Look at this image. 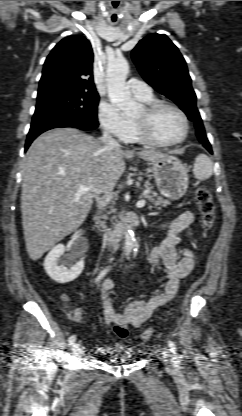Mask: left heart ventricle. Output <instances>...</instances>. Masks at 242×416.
<instances>
[{
    "label": "left heart ventricle",
    "mask_w": 242,
    "mask_h": 416,
    "mask_svg": "<svg viewBox=\"0 0 242 416\" xmlns=\"http://www.w3.org/2000/svg\"><path fill=\"white\" fill-rule=\"evenodd\" d=\"M145 118L143 108L134 116V119ZM150 129L153 135L162 141H173L183 133V122L180 116L170 108H161L156 111L149 120Z\"/></svg>",
    "instance_id": "1"
}]
</instances>
